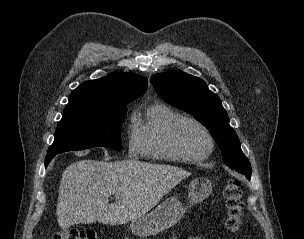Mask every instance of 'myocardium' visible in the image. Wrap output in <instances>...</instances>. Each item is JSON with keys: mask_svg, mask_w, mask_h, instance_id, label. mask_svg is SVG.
I'll list each match as a JSON object with an SVG mask.
<instances>
[{"mask_svg": "<svg viewBox=\"0 0 304 239\" xmlns=\"http://www.w3.org/2000/svg\"><path fill=\"white\" fill-rule=\"evenodd\" d=\"M193 123L195 125H197L199 128H201L204 133L206 134L208 141H209V146L208 149L200 154H192L187 152L180 144L179 139H178V131L180 129V127L184 124V123ZM167 138H168V143L169 146L171 147V149L182 159L185 161H200V160H204L207 157H209L211 155V153L214 150L215 147V140L214 137L210 131V129L203 123L201 122L199 119L195 118V117H191V116H181L178 119H176L169 127L168 129V134H167Z\"/></svg>", "mask_w": 304, "mask_h": 239, "instance_id": "myocardium-1", "label": "myocardium"}]
</instances>
